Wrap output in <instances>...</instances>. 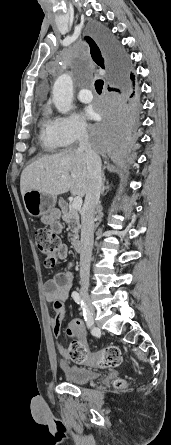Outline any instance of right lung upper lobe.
<instances>
[{
	"label": "right lung upper lobe",
	"mask_w": 171,
	"mask_h": 445,
	"mask_svg": "<svg viewBox=\"0 0 171 445\" xmlns=\"http://www.w3.org/2000/svg\"><path fill=\"white\" fill-rule=\"evenodd\" d=\"M86 41L88 42L91 50V56L93 60L96 62V64L102 68H105V66L109 69L111 77H112V83L114 84L117 79V74L115 70L113 69L112 65L110 64V61L108 60L106 53L101 45L100 42H95L90 37H85Z\"/></svg>",
	"instance_id": "cb5924a9"
}]
</instances>
